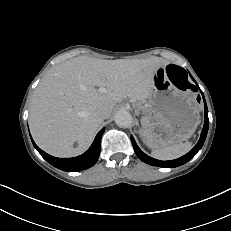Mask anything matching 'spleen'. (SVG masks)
Returning <instances> with one entry per match:
<instances>
[{"mask_svg": "<svg viewBox=\"0 0 231 231\" xmlns=\"http://www.w3.org/2000/svg\"><path fill=\"white\" fill-rule=\"evenodd\" d=\"M192 148L191 142L179 143L152 151V156L159 160H173L185 155Z\"/></svg>", "mask_w": 231, "mask_h": 231, "instance_id": "1", "label": "spleen"}]
</instances>
